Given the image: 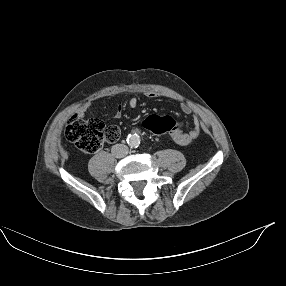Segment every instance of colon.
Wrapping results in <instances>:
<instances>
[{
  "label": "colon",
  "instance_id": "5ec220e1",
  "mask_svg": "<svg viewBox=\"0 0 286 286\" xmlns=\"http://www.w3.org/2000/svg\"><path fill=\"white\" fill-rule=\"evenodd\" d=\"M144 130L153 136H167L176 126L175 119L166 113L150 112L143 121ZM121 135L116 125L105 126L99 119H82L73 116L69 120L65 136L84 153H95L104 143H114Z\"/></svg>",
  "mask_w": 286,
  "mask_h": 286
}]
</instances>
